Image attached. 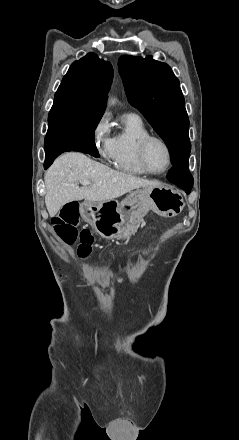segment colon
<instances>
[{"label":"colon","mask_w":239,"mask_h":440,"mask_svg":"<svg viewBox=\"0 0 239 440\" xmlns=\"http://www.w3.org/2000/svg\"><path fill=\"white\" fill-rule=\"evenodd\" d=\"M52 226L55 233L65 243L72 244L79 241L77 249L80 258L89 256L92 250L93 235L87 228L78 230L79 213L77 203H68L62 207L59 214L52 218Z\"/></svg>","instance_id":"1"}]
</instances>
